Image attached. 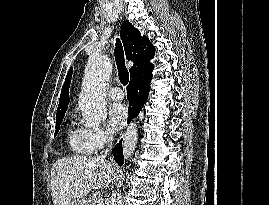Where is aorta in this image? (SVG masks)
I'll list each match as a JSON object with an SVG mask.
<instances>
[{"instance_id":"obj_1","label":"aorta","mask_w":269,"mask_h":205,"mask_svg":"<svg viewBox=\"0 0 269 205\" xmlns=\"http://www.w3.org/2000/svg\"><path fill=\"white\" fill-rule=\"evenodd\" d=\"M112 71L111 60L105 56H91L88 60L82 91L79 97V109L89 127H97L106 119L105 91ZM138 141L136 124H130L123 139V154L128 159L134 152ZM109 205H123L122 194L115 192L109 200Z\"/></svg>"}]
</instances>
